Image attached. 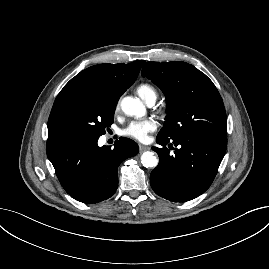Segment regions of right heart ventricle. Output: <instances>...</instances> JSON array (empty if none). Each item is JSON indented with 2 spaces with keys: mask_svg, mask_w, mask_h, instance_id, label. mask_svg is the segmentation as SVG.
<instances>
[{
  "mask_svg": "<svg viewBox=\"0 0 269 269\" xmlns=\"http://www.w3.org/2000/svg\"><path fill=\"white\" fill-rule=\"evenodd\" d=\"M137 94L147 103L151 99L157 98L156 89L149 83H141L136 87Z\"/></svg>",
  "mask_w": 269,
  "mask_h": 269,
  "instance_id": "right-heart-ventricle-1",
  "label": "right heart ventricle"
}]
</instances>
